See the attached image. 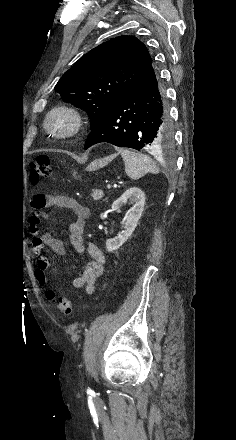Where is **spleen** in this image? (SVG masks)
Segmentation results:
<instances>
[{
  "mask_svg": "<svg viewBox=\"0 0 236 440\" xmlns=\"http://www.w3.org/2000/svg\"><path fill=\"white\" fill-rule=\"evenodd\" d=\"M120 154L125 163V172L133 180L140 179L148 172H158L156 164L147 155L129 149H121Z\"/></svg>",
  "mask_w": 236,
  "mask_h": 440,
  "instance_id": "obj_1",
  "label": "spleen"
}]
</instances>
